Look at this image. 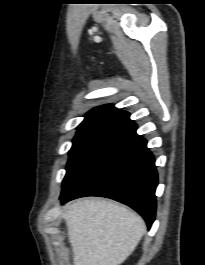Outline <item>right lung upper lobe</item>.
I'll return each instance as SVG.
<instances>
[{
	"label": "right lung upper lobe",
	"mask_w": 205,
	"mask_h": 265,
	"mask_svg": "<svg viewBox=\"0 0 205 265\" xmlns=\"http://www.w3.org/2000/svg\"><path fill=\"white\" fill-rule=\"evenodd\" d=\"M133 123L128 112L119 110L111 104L98 106L90 110L77 129L82 130L97 126H125Z\"/></svg>",
	"instance_id": "1"
}]
</instances>
